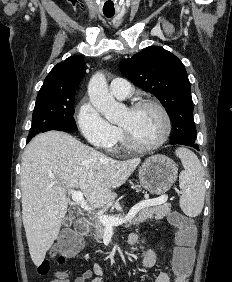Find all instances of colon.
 <instances>
[{"label": "colon", "mask_w": 232, "mask_h": 282, "mask_svg": "<svg viewBox=\"0 0 232 282\" xmlns=\"http://www.w3.org/2000/svg\"><path fill=\"white\" fill-rule=\"evenodd\" d=\"M176 228V247L173 252L172 269L175 282H188L193 262V246L196 242V229L192 220L182 214L174 213L170 218ZM82 241L70 230H64L58 240L57 262L63 264L67 259L74 257L81 249ZM49 260H43L37 266L41 276L49 273Z\"/></svg>", "instance_id": "colon-1"}]
</instances>
